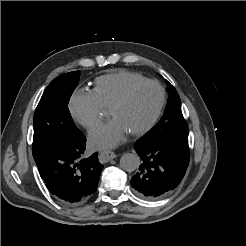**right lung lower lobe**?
Instances as JSON below:
<instances>
[{"instance_id":"98d812e1","label":"right lung lower lobe","mask_w":246,"mask_h":246,"mask_svg":"<svg viewBox=\"0 0 246 246\" xmlns=\"http://www.w3.org/2000/svg\"><path fill=\"white\" fill-rule=\"evenodd\" d=\"M85 143L79 130L76 136L53 142L33 156L49 191L68 205L83 203L95 193L103 169L97 153L83 157Z\"/></svg>"}]
</instances>
